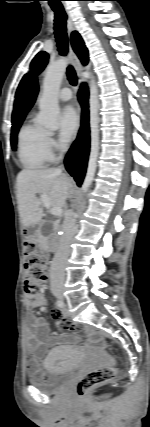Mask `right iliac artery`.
Segmentation results:
<instances>
[{
  "label": "right iliac artery",
  "instance_id": "82829eb1",
  "mask_svg": "<svg viewBox=\"0 0 150 427\" xmlns=\"http://www.w3.org/2000/svg\"><path fill=\"white\" fill-rule=\"evenodd\" d=\"M57 306L62 308L64 306V303L61 300H57Z\"/></svg>",
  "mask_w": 150,
  "mask_h": 427
}]
</instances>
